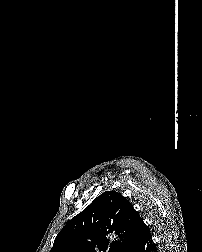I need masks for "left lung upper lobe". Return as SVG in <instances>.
I'll list each match as a JSON object with an SVG mask.
<instances>
[{
  "label": "left lung upper lobe",
  "instance_id": "1",
  "mask_svg": "<svg viewBox=\"0 0 202 252\" xmlns=\"http://www.w3.org/2000/svg\"><path fill=\"white\" fill-rule=\"evenodd\" d=\"M141 221L124 196L105 191L63 227L50 252H131ZM107 231L123 241L110 242Z\"/></svg>",
  "mask_w": 202,
  "mask_h": 252
}]
</instances>
